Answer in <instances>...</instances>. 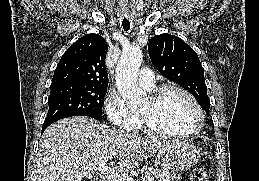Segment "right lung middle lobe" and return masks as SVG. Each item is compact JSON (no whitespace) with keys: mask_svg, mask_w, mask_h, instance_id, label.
I'll return each mask as SVG.
<instances>
[{"mask_svg":"<svg viewBox=\"0 0 259 181\" xmlns=\"http://www.w3.org/2000/svg\"><path fill=\"white\" fill-rule=\"evenodd\" d=\"M49 111L43 126L70 116H89L102 119V107L107 88L86 86L50 87Z\"/></svg>","mask_w":259,"mask_h":181,"instance_id":"1","label":"right lung middle lobe"}]
</instances>
